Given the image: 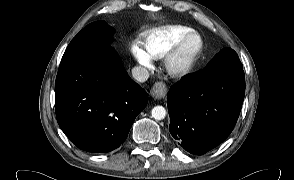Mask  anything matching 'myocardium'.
<instances>
[{"label":"myocardium","mask_w":294,"mask_h":180,"mask_svg":"<svg viewBox=\"0 0 294 180\" xmlns=\"http://www.w3.org/2000/svg\"><path fill=\"white\" fill-rule=\"evenodd\" d=\"M192 39H197L198 46L194 52L186 59H181V55L186 44ZM204 48L202 37L197 32H190L181 38L163 57L162 70L173 79H182L186 77L193 69L196 61Z\"/></svg>","instance_id":"f54148a6"}]
</instances>
